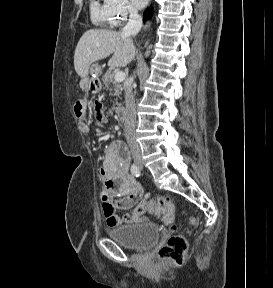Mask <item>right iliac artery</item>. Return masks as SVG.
<instances>
[{
    "mask_svg": "<svg viewBox=\"0 0 273 288\" xmlns=\"http://www.w3.org/2000/svg\"><path fill=\"white\" fill-rule=\"evenodd\" d=\"M131 173H132V175L139 177L141 174L140 168L137 165L133 164L131 166Z\"/></svg>",
    "mask_w": 273,
    "mask_h": 288,
    "instance_id": "right-iliac-artery-1",
    "label": "right iliac artery"
}]
</instances>
